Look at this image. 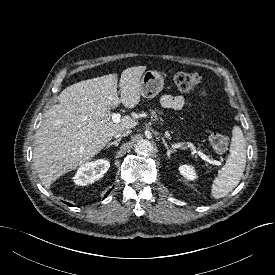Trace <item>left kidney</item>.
I'll list each match as a JSON object with an SVG mask.
<instances>
[{
  "mask_svg": "<svg viewBox=\"0 0 275 275\" xmlns=\"http://www.w3.org/2000/svg\"><path fill=\"white\" fill-rule=\"evenodd\" d=\"M179 171L187 180H195L197 177L195 170L189 165H181Z\"/></svg>",
  "mask_w": 275,
  "mask_h": 275,
  "instance_id": "obj_1",
  "label": "left kidney"
}]
</instances>
